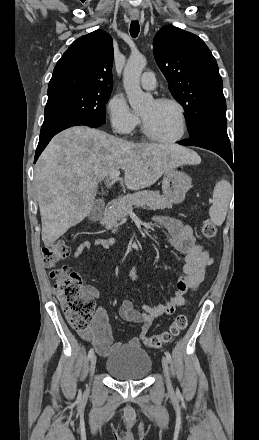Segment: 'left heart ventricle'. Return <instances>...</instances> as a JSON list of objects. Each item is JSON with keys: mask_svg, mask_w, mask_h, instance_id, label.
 <instances>
[{"mask_svg": "<svg viewBox=\"0 0 259 440\" xmlns=\"http://www.w3.org/2000/svg\"><path fill=\"white\" fill-rule=\"evenodd\" d=\"M151 132L160 138H172L180 129L177 109L171 104H158L151 101L142 111Z\"/></svg>", "mask_w": 259, "mask_h": 440, "instance_id": "b2bd125f", "label": "left heart ventricle"}]
</instances>
